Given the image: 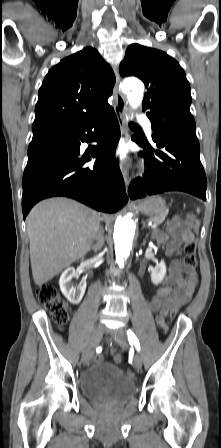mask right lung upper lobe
<instances>
[{
    "instance_id": "1",
    "label": "right lung upper lobe",
    "mask_w": 221,
    "mask_h": 448,
    "mask_svg": "<svg viewBox=\"0 0 221 448\" xmlns=\"http://www.w3.org/2000/svg\"><path fill=\"white\" fill-rule=\"evenodd\" d=\"M114 84L111 67L92 47L61 60L39 89L32 141L82 123L110 106Z\"/></svg>"
}]
</instances>
